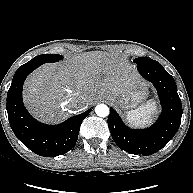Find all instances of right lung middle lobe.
<instances>
[{"label":"right lung middle lobe","instance_id":"right-lung-middle-lobe-1","mask_svg":"<svg viewBox=\"0 0 193 193\" xmlns=\"http://www.w3.org/2000/svg\"><path fill=\"white\" fill-rule=\"evenodd\" d=\"M62 58H63V56L58 55V54H42V55L36 56L32 60H30L28 63L44 64L46 62H57V61L61 60Z\"/></svg>","mask_w":193,"mask_h":193}]
</instances>
